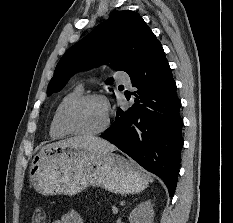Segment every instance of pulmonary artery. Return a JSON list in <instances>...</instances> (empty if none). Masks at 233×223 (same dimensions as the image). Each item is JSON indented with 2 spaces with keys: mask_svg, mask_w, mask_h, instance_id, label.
I'll list each match as a JSON object with an SVG mask.
<instances>
[{
  "mask_svg": "<svg viewBox=\"0 0 233 223\" xmlns=\"http://www.w3.org/2000/svg\"><path fill=\"white\" fill-rule=\"evenodd\" d=\"M112 74H115L117 79H121L120 80L121 83H124L128 87H131L132 85L130 81L131 74H126V70H115V71H112Z\"/></svg>",
  "mask_w": 233,
  "mask_h": 223,
  "instance_id": "pulmonary-artery-1",
  "label": "pulmonary artery"
}]
</instances>
